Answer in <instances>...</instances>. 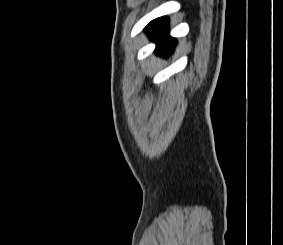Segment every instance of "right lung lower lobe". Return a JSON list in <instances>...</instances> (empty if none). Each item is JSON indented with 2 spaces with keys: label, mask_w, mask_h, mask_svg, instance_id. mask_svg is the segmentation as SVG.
Wrapping results in <instances>:
<instances>
[{
  "label": "right lung lower lobe",
  "mask_w": 283,
  "mask_h": 245,
  "mask_svg": "<svg viewBox=\"0 0 283 245\" xmlns=\"http://www.w3.org/2000/svg\"><path fill=\"white\" fill-rule=\"evenodd\" d=\"M149 37L156 42V52L167 56L173 50L175 39L168 35V20L164 17L151 21L145 28Z\"/></svg>",
  "instance_id": "right-lung-lower-lobe-1"
}]
</instances>
